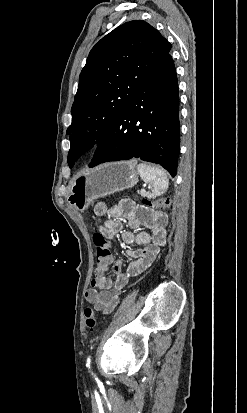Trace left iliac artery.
<instances>
[{
	"mask_svg": "<svg viewBox=\"0 0 247 413\" xmlns=\"http://www.w3.org/2000/svg\"><path fill=\"white\" fill-rule=\"evenodd\" d=\"M86 366H87V367H90V357H88V359H87V364H86Z\"/></svg>",
	"mask_w": 247,
	"mask_h": 413,
	"instance_id": "1",
	"label": "left iliac artery"
}]
</instances>
